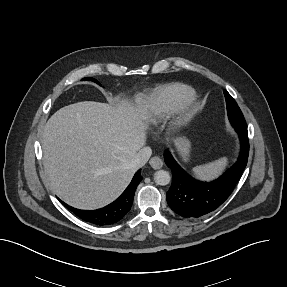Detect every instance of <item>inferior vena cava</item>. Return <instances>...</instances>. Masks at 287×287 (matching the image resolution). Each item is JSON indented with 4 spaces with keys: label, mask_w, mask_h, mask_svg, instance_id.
Masks as SVG:
<instances>
[{
    "label": "inferior vena cava",
    "mask_w": 287,
    "mask_h": 287,
    "mask_svg": "<svg viewBox=\"0 0 287 287\" xmlns=\"http://www.w3.org/2000/svg\"><path fill=\"white\" fill-rule=\"evenodd\" d=\"M151 154H152V150L150 147L147 146V147L142 148L132 160L131 167L134 169H139L143 167L146 164V162L149 160Z\"/></svg>",
    "instance_id": "602c4592"
}]
</instances>
